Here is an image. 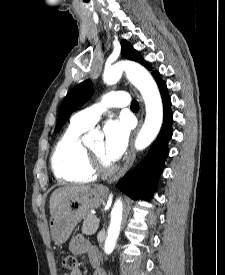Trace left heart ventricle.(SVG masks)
Segmentation results:
<instances>
[{"label": "left heart ventricle", "mask_w": 225, "mask_h": 275, "mask_svg": "<svg viewBox=\"0 0 225 275\" xmlns=\"http://www.w3.org/2000/svg\"><path fill=\"white\" fill-rule=\"evenodd\" d=\"M89 149L96 154L105 164H112L104 157V142L103 140H99L95 142Z\"/></svg>", "instance_id": "1"}]
</instances>
